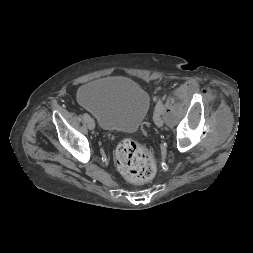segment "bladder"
<instances>
[{
    "label": "bladder",
    "instance_id": "1",
    "mask_svg": "<svg viewBox=\"0 0 253 253\" xmlns=\"http://www.w3.org/2000/svg\"><path fill=\"white\" fill-rule=\"evenodd\" d=\"M79 103L105 131L133 132L150 108V96L137 82L125 77L102 78L81 86Z\"/></svg>",
    "mask_w": 253,
    "mask_h": 253
}]
</instances>
